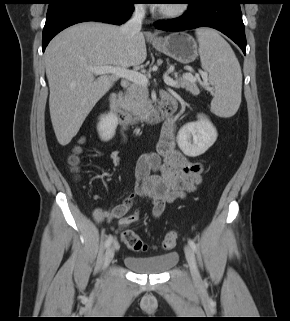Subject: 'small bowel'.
Masks as SVG:
<instances>
[{
	"label": "small bowel",
	"instance_id": "small-bowel-1",
	"mask_svg": "<svg viewBox=\"0 0 290 321\" xmlns=\"http://www.w3.org/2000/svg\"><path fill=\"white\" fill-rule=\"evenodd\" d=\"M168 94L166 91L162 96ZM122 125V141H126ZM177 122L171 118L161 129L156 150L142 154L135 166L136 182L134 190L121 203L106 210L97 207L94 220L101 224L105 219H125L135 197L148 199L152 203V215L158 218L167 203L183 198L196 189L202 180L203 165L191 160L176 148Z\"/></svg>",
	"mask_w": 290,
	"mask_h": 321
}]
</instances>
